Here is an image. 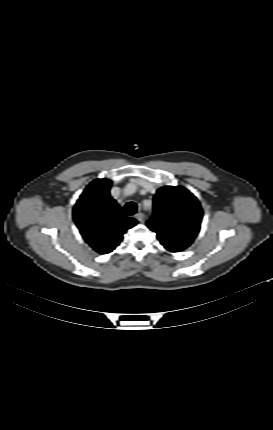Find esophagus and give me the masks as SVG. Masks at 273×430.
Masks as SVG:
<instances>
[{"label": "esophagus", "instance_id": "obj_1", "mask_svg": "<svg viewBox=\"0 0 273 430\" xmlns=\"http://www.w3.org/2000/svg\"><path fill=\"white\" fill-rule=\"evenodd\" d=\"M135 218L139 221V222H144V215L143 213H137L135 215Z\"/></svg>", "mask_w": 273, "mask_h": 430}]
</instances>
